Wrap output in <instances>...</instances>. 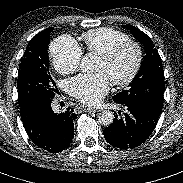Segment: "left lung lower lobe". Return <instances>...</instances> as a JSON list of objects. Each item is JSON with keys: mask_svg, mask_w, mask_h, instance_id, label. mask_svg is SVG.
Segmentation results:
<instances>
[{"mask_svg": "<svg viewBox=\"0 0 183 183\" xmlns=\"http://www.w3.org/2000/svg\"><path fill=\"white\" fill-rule=\"evenodd\" d=\"M123 105L127 108L125 116L118 118L116 115L113 123L104 129L103 134L112 146L127 150L138 147L148 139L156 127L160 114L137 103Z\"/></svg>", "mask_w": 183, "mask_h": 183, "instance_id": "1", "label": "left lung lower lobe"}]
</instances>
